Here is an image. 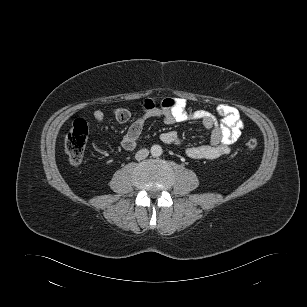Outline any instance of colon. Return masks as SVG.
Here are the masks:
<instances>
[{
    "label": "colon",
    "mask_w": 307,
    "mask_h": 307,
    "mask_svg": "<svg viewBox=\"0 0 307 307\" xmlns=\"http://www.w3.org/2000/svg\"><path fill=\"white\" fill-rule=\"evenodd\" d=\"M88 126L87 123L78 119L73 123V126L67 134L64 142L65 151L72 164H80L84 157V151L87 144ZM257 147L255 138H248L245 141V148L248 151H253Z\"/></svg>",
    "instance_id": "obj_1"
}]
</instances>
